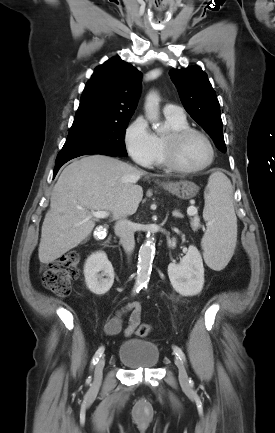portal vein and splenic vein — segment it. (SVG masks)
Wrapping results in <instances>:
<instances>
[{
    "mask_svg": "<svg viewBox=\"0 0 275 433\" xmlns=\"http://www.w3.org/2000/svg\"><path fill=\"white\" fill-rule=\"evenodd\" d=\"M187 214L189 216L194 217V224L198 227L199 226V218L197 216V209L194 206H190L187 209ZM90 217H94L97 219H105L109 216V212L107 211H91L89 212Z\"/></svg>",
    "mask_w": 275,
    "mask_h": 433,
    "instance_id": "portal-vein-and-splenic-vein-1",
    "label": "portal vein and splenic vein"
}]
</instances>
